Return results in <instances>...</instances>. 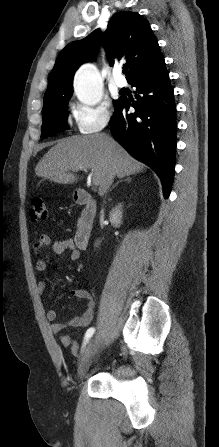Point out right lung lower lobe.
Listing matches in <instances>:
<instances>
[{
    "mask_svg": "<svg viewBox=\"0 0 219 447\" xmlns=\"http://www.w3.org/2000/svg\"><path fill=\"white\" fill-rule=\"evenodd\" d=\"M130 84L141 95L132 105L126 97L118 99L110 130L132 156L156 172L168 198L174 178L177 122L165 61ZM130 106L135 108L134 113L128 112Z\"/></svg>",
    "mask_w": 219,
    "mask_h": 447,
    "instance_id": "right-lung-lower-lobe-1",
    "label": "right lung lower lobe"
}]
</instances>
